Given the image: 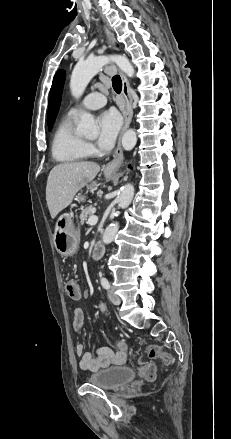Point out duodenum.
<instances>
[{"mask_svg": "<svg viewBox=\"0 0 231 439\" xmlns=\"http://www.w3.org/2000/svg\"><path fill=\"white\" fill-rule=\"evenodd\" d=\"M104 254V246L101 243H96L91 249V257L93 259H100Z\"/></svg>", "mask_w": 231, "mask_h": 439, "instance_id": "410a0bca", "label": "duodenum"}]
</instances>
